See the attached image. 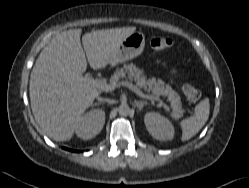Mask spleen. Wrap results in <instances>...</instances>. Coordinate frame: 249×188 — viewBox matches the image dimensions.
Segmentation results:
<instances>
[{
  "label": "spleen",
  "instance_id": "obj_1",
  "mask_svg": "<svg viewBox=\"0 0 249 188\" xmlns=\"http://www.w3.org/2000/svg\"><path fill=\"white\" fill-rule=\"evenodd\" d=\"M210 112L209 100L206 98L195 107V114L181 122L182 141H187L195 136L208 120Z\"/></svg>",
  "mask_w": 249,
  "mask_h": 188
}]
</instances>
